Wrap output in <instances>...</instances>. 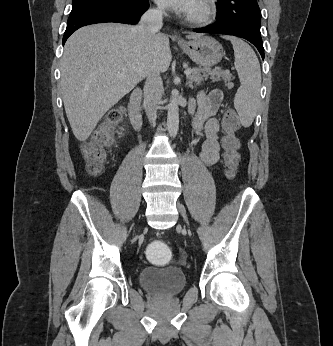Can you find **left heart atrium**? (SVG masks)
<instances>
[{
    "instance_id": "1",
    "label": "left heart atrium",
    "mask_w": 333,
    "mask_h": 346,
    "mask_svg": "<svg viewBox=\"0 0 333 346\" xmlns=\"http://www.w3.org/2000/svg\"><path fill=\"white\" fill-rule=\"evenodd\" d=\"M162 7L178 11L188 12L191 10L195 0H155Z\"/></svg>"
}]
</instances>
